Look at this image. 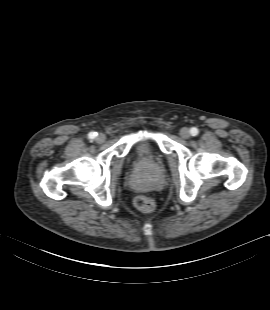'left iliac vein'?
<instances>
[{
	"mask_svg": "<svg viewBox=\"0 0 270 310\" xmlns=\"http://www.w3.org/2000/svg\"><path fill=\"white\" fill-rule=\"evenodd\" d=\"M180 136L183 138V139H188L190 138L191 136V133H190V130L186 127L182 128L180 130Z\"/></svg>",
	"mask_w": 270,
	"mask_h": 310,
	"instance_id": "left-iliac-vein-1",
	"label": "left iliac vein"
}]
</instances>
